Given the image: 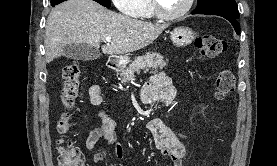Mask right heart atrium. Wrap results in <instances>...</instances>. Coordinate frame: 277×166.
Masks as SVG:
<instances>
[{
  "label": "right heart atrium",
  "instance_id": "1",
  "mask_svg": "<svg viewBox=\"0 0 277 166\" xmlns=\"http://www.w3.org/2000/svg\"><path fill=\"white\" fill-rule=\"evenodd\" d=\"M114 6L122 13L135 16L144 0H111Z\"/></svg>",
  "mask_w": 277,
  "mask_h": 166
}]
</instances>
